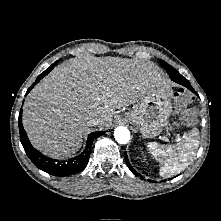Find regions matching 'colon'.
<instances>
[{
	"instance_id": "obj_1",
	"label": "colon",
	"mask_w": 221,
	"mask_h": 221,
	"mask_svg": "<svg viewBox=\"0 0 221 221\" xmlns=\"http://www.w3.org/2000/svg\"><path fill=\"white\" fill-rule=\"evenodd\" d=\"M176 108L182 113L185 119H191L192 114L187 112V106L190 102L189 96L185 91H180L176 96Z\"/></svg>"
}]
</instances>
